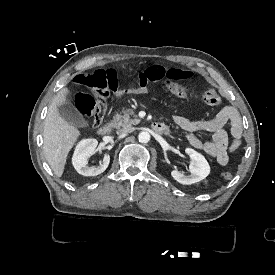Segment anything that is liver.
<instances>
[{
	"instance_id": "6515ba94",
	"label": "liver",
	"mask_w": 275,
	"mask_h": 275,
	"mask_svg": "<svg viewBox=\"0 0 275 275\" xmlns=\"http://www.w3.org/2000/svg\"><path fill=\"white\" fill-rule=\"evenodd\" d=\"M68 93V88H62L58 92L49 106L44 121L43 151L51 169L58 177L62 176L67 155L80 135L79 130L65 121L57 109V104L66 101L65 95Z\"/></svg>"
}]
</instances>
